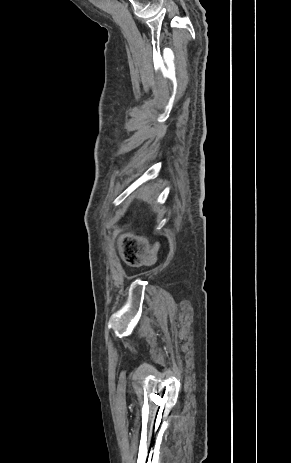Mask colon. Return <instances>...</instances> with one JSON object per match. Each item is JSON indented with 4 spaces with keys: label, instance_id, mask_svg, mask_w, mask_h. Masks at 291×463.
Wrapping results in <instances>:
<instances>
[{
    "label": "colon",
    "instance_id": "5ec220e1",
    "mask_svg": "<svg viewBox=\"0 0 291 463\" xmlns=\"http://www.w3.org/2000/svg\"><path fill=\"white\" fill-rule=\"evenodd\" d=\"M123 256L129 265L137 266L145 261V246L142 240L133 235H126L122 241Z\"/></svg>",
    "mask_w": 291,
    "mask_h": 463
}]
</instances>
